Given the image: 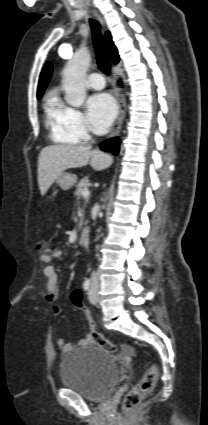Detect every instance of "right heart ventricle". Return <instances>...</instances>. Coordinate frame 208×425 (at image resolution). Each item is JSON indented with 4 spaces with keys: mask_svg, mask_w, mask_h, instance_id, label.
<instances>
[{
    "mask_svg": "<svg viewBox=\"0 0 208 425\" xmlns=\"http://www.w3.org/2000/svg\"><path fill=\"white\" fill-rule=\"evenodd\" d=\"M46 126L49 129L50 138L61 144L74 145L78 140L67 129L64 121V106L55 93H49L44 104Z\"/></svg>",
    "mask_w": 208,
    "mask_h": 425,
    "instance_id": "right-heart-ventricle-1",
    "label": "right heart ventricle"
}]
</instances>
